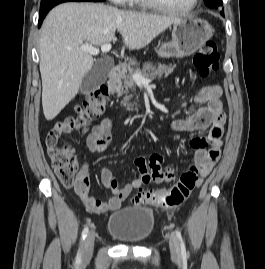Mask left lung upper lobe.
I'll list each match as a JSON object with an SVG mask.
<instances>
[{
	"mask_svg": "<svg viewBox=\"0 0 265 269\" xmlns=\"http://www.w3.org/2000/svg\"><path fill=\"white\" fill-rule=\"evenodd\" d=\"M206 5L211 8H217L223 5L222 0H204Z\"/></svg>",
	"mask_w": 265,
	"mask_h": 269,
	"instance_id": "left-lung-upper-lobe-1",
	"label": "left lung upper lobe"
}]
</instances>
